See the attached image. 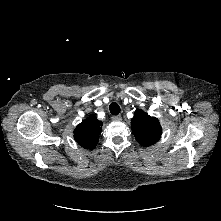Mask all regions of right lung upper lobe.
I'll use <instances>...</instances> for the list:
<instances>
[{
    "mask_svg": "<svg viewBox=\"0 0 221 221\" xmlns=\"http://www.w3.org/2000/svg\"><path fill=\"white\" fill-rule=\"evenodd\" d=\"M102 122L94 115L82 121L74 130V138L85 149H94L99 141Z\"/></svg>",
    "mask_w": 221,
    "mask_h": 221,
    "instance_id": "obj_1",
    "label": "right lung upper lobe"
}]
</instances>
